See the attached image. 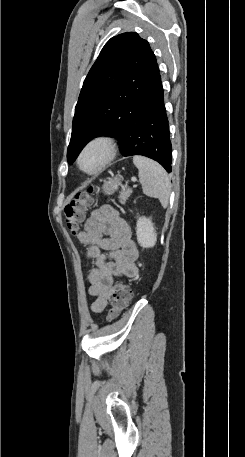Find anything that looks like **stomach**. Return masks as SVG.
<instances>
[{
	"mask_svg": "<svg viewBox=\"0 0 245 457\" xmlns=\"http://www.w3.org/2000/svg\"><path fill=\"white\" fill-rule=\"evenodd\" d=\"M122 180V174H116V176H110L108 180H104L102 188L105 194H113L115 190H118L119 186H121Z\"/></svg>",
	"mask_w": 245,
	"mask_h": 457,
	"instance_id": "1",
	"label": "stomach"
}]
</instances>
